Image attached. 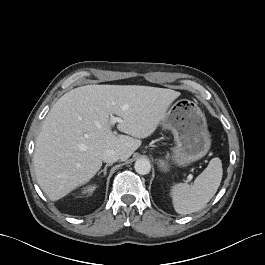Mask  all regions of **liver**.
Segmentation results:
<instances>
[{"label": "liver", "mask_w": 265, "mask_h": 265, "mask_svg": "<svg viewBox=\"0 0 265 265\" xmlns=\"http://www.w3.org/2000/svg\"><path fill=\"white\" fill-rule=\"evenodd\" d=\"M180 92L139 85H85L65 93L45 117L33 163L37 182L56 201L92 179L102 154L127 160L157 129ZM123 120L112 132L110 117Z\"/></svg>", "instance_id": "liver-1"}]
</instances>
